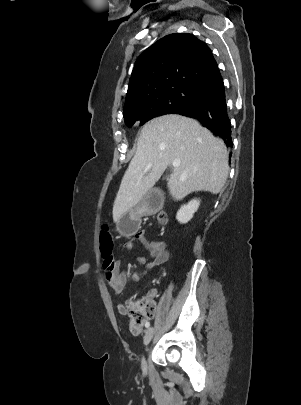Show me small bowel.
I'll list each match as a JSON object with an SVG mask.
<instances>
[{
  "mask_svg": "<svg viewBox=\"0 0 301 405\" xmlns=\"http://www.w3.org/2000/svg\"><path fill=\"white\" fill-rule=\"evenodd\" d=\"M134 241L139 242L149 252L151 259L139 256L138 261L145 265L148 269H153L166 262L169 258V253L166 249V245L162 241L148 240L144 231L137 232L133 239L122 244L123 249L130 250L133 247ZM121 261L114 259L112 264L104 266V280L115 295H121L129 282H139L141 275L137 272L131 275L121 270ZM157 295V290L150 288L145 293V300L152 303ZM118 312L125 315L126 309L122 304L117 305Z\"/></svg>",
  "mask_w": 301,
  "mask_h": 405,
  "instance_id": "c3829d8e",
  "label": "small bowel"
}]
</instances>
